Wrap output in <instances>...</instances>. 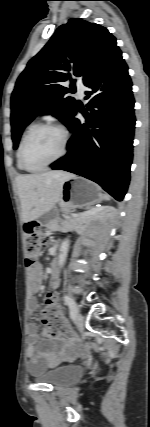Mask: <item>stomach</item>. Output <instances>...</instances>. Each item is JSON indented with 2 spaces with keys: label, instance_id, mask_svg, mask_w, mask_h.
Here are the masks:
<instances>
[{
  "label": "stomach",
  "instance_id": "obj_1",
  "mask_svg": "<svg viewBox=\"0 0 150 427\" xmlns=\"http://www.w3.org/2000/svg\"><path fill=\"white\" fill-rule=\"evenodd\" d=\"M101 199L102 193L95 184L74 176L64 182L59 199V206L62 211L70 212L75 208L96 204ZM56 213V210H52L49 216L55 217Z\"/></svg>",
  "mask_w": 150,
  "mask_h": 427
}]
</instances>
